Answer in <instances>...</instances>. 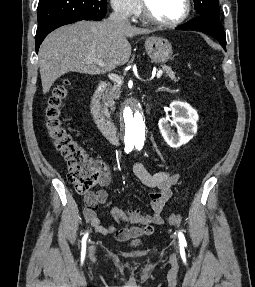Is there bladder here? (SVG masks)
I'll list each match as a JSON object with an SVG mask.
<instances>
[{
  "label": "bladder",
  "mask_w": 255,
  "mask_h": 287,
  "mask_svg": "<svg viewBox=\"0 0 255 287\" xmlns=\"http://www.w3.org/2000/svg\"><path fill=\"white\" fill-rule=\"evenodd\" d=\"M130 244L132 245V246H140L141 244H142V241H141V239H133V240H131L130 241Z\"/></svg>",
  "instance_id": "bladder-1"
}]
</instances>
